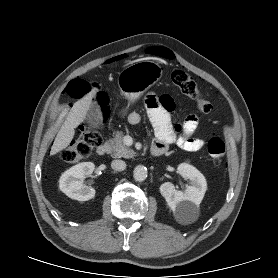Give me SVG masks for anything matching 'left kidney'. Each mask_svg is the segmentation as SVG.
Returning <instances> with one entry per match:
<instances>
[{
    "instance_id": "obj_1",
    "label": "left kidney",
    "mask_w": 278,
    "mask_h": 278,
    "mask_svg": "<svg viewBox=\"0 0 278 278\" xmlns=\"http://www.w3.org/2000/svg\"><path fill=\"white\" fill-rule=\"evenodd\" d=\"M178 171L191 185L182 192L176 190L172 183L165 182L160 186V193L169 208L181 215L199 207L207 190V182L203 174L192 165L182 163L178 166Z\"/></svg>"
}]
</instances>
